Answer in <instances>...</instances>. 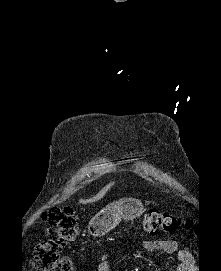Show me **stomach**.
I'll return each mask as SVG.
<instances>
[{
    "label": "stomach",
    "instance_id": "0dacf381",
    "mask_svg": "<svg viewBox=\"0 0 221 271\" xmlns=\"http://www.w3.org/2000/svg\"><path fill=\"white\" fill-rule=\"evenodd\" d=\"M134 201V197H122V201H113V203H109L104 209L98 211L88 223L90 235H93V237L105 235L107 231L118 225L122 217L124 219L139 217L143 211V203Z\"/></svg>",
    "mask_w": 221,
    "mask_h": 271
}]
</instances>
